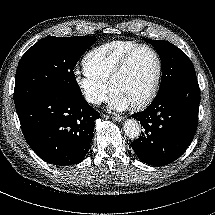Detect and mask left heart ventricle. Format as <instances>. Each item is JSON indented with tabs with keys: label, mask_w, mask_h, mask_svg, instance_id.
<instances>
[{
	"label": "left heart ventricle",
	"mask_w": 215,
	"mask_h": 215,
	"mask_svg": "<svg viewBox=\"0 0 215 215\" xmlns=\"http://www.w3.org/2000/svg\"><path fill=\"white\" fill-rule=\"evenodd\" d=\"M156 72V61L150 50L135 52L121 76L114 82L112 92L122 95L130 105L141 101L148 93Z\"/></svg>",
	"instance_id": "b2bd125f"
}]
</instances>
